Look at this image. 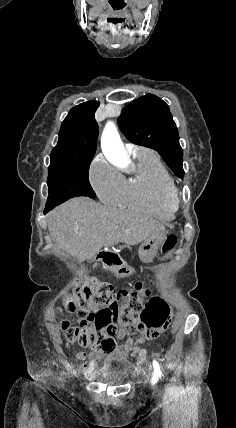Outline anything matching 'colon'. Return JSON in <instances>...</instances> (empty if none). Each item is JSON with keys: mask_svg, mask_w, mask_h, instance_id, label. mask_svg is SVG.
Listing matches in <instances>:
<instances>
[{"mask_svg": "<svg viewBox=\"0 0 236 428\" xmlns=\"http://www.w3.org/2000/svg\"><path fill=\"white\" fill-rule=\"evenodd\" d=\"M176 243L177 238L169 235L162 245V252H171ZM147 294L142 282L133 289L123 288L117 292L111 284L97 280L75 286L65 298L66 308L77 311L75 324L63 323L67 341L92 351L112 353L117 347L118 326L133 333L165 330L171 318L170 308L159 298L151 299L143 307V298Z\"/></svg>", "mask_w": 236, "mask_h": 428, "instance_id": "colon-1", "label": "colon"}]
</instances>
